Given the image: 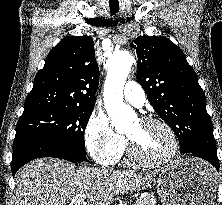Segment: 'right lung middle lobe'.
I'll use <instances>...</instances> for the list:
<instances>
[{
    "instance_id": "obj_1",
    "label": "right lung middle lobe",
    "mask_w": 222,
    "mask_h": 205,
    "mask_svg": "<svg viewBox=\"0 0 222 205\" xmlns=\"http://www.w3.org/2000/svg\"><path fill=\"white\" fill-rule=\"evenodd\" d=\"M94 107H51L23 113L15 139L41 137L85 155L84 131Z\"/></svg>"
}]
</instances>
